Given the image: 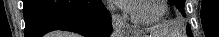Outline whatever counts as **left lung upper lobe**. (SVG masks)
Here are the masks:
<instances>
[{
  "label": "left lung upper lobe",
  "instance_id": "left-lung-upper-lobe-1",
  "mask_svg": "<svg viewBox=\"0 0 219 37\" xmlns=\"http://www.w3.org/2000/svg\"><path fill=\"white\" fill-rule=\"evenodd\" d=\"M171 1L177 6L178 10L182 13V15L185 16V12H184L185 0H171ZM186 31L189 37L192 36L191 28L189 25H187Z\"/></svg>",
  "mask_w": 219,
  "mask_h": 37
}]
</instances>
